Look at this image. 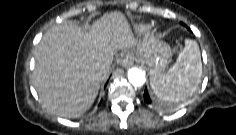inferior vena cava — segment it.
Segmentation results:
<instances>
[{"instance_id": "602c4592", "label": "inferior vena cava", "mask_w": 236, "mask_h": 135, "mask_svg": "<svg viewBox=\"0 0 236 135\" xmlns=\"http://www.w3.org/2000/svg\"><path fill=\"white\" fill-rule=\"evenodd\" d=\"M111 64H112V61H108L106 65H107L108 68H110Z\"/></svg>"}]
</instances>
